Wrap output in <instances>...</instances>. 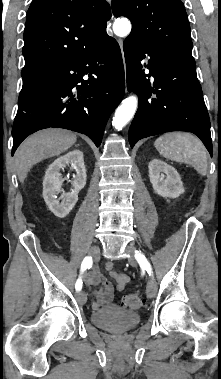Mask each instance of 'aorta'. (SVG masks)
<instances>
[{"label": "aorta", "mask_w": 221, "mask_h": 379, "mask_svg": "<svg viewBox=\"0 0 221 379\" xmlns=\"http://www.w3.org/2000/svg\"><path fill=\"white\" fill-rule=\"evenodd\" d=\"M114 33L119 37L129 35L131 31V23L127 18H118L113 24ZM138 105V99L135 95H131L123 100L121 105L116 109L112 120L115 129L121 130L133 117Z\"/></svg>", "instance_id": "obj_1"}]
</instances>
